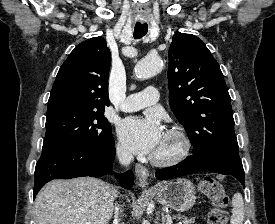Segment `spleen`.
<instances>
[{"instance_id": "3e777b00", "label": "spleen", "mask_w": 275, "mask_h": 224, "mask_svg": "<svg viewBox=\"0 0 275 224\" xmlns=\"http://www.w3.org/2000/svg\"><path fill=\"white\" fill-rule=\"evenodd\" d=\"M232 216L230 223L231 224H243L244 220V202L243 197L240 193L234 194L232 198Z\"/></svg>"}]
</instances>
